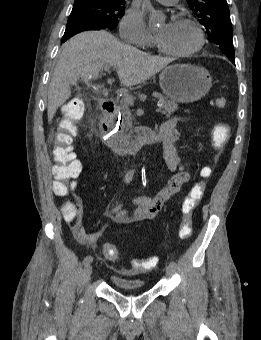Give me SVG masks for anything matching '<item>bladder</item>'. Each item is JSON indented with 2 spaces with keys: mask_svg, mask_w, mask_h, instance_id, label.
I'll list each match as a JSON object with an SVG mask.
<instances>
[{
  "mask_svg": "<svg viewBox=\"0 0 261 340\" xmlns=\"http://www.w3.org/2000/svg\"><path fill=\"white\" fill-rule=\"evenodd\" d=\"M111 281L115 287L121 291H141L146 288L144 281L140 278H127L113 275Z\"/></svg>",
  "mask_w": 261,
  "mask_h": 340,
  "instance_id": "1",
  "label": "bladder"
}]
</instances>
